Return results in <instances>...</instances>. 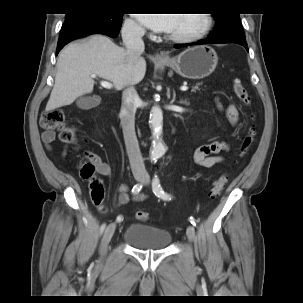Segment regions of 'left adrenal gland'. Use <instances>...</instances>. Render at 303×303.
<instances>
[{
  "label": "left adrenal gland",
  "mask_w": 303,
  "mask_h": 303,
  "mask_svg": "<svg viewBox=\"0 0 303 303\" xmlns=\"http://www.w3.org/2000/svg\"><path fill=\"white\" fill-rule=\"evenodd\" d=\"M175 97H176V94H175V93H173V100H175ZM180 103L186 104V100H184V101H180Z\"/></svg>",
  "instance_id": "obj_1"
}]
</instances>
